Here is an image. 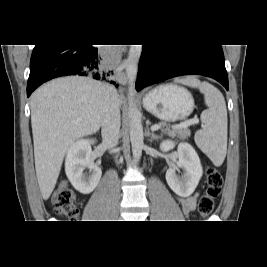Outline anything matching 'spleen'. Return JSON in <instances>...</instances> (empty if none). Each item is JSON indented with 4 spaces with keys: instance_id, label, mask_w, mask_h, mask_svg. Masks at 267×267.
<instances>
[{
    "instance_id": "1",
    "label": "spleen",
    "mask_w": 267,
    "mask_h": 267,
    "mask_svg": "<svg viewBox=\"0 0 267 267\" xmlns=\"http://www.w3.org/2000/svg\"><path fill=\"white\" fill-rule=\"evenodd\" d=\"M175 82L198 88L204 94L208 109L201 114L204 126L195 133V143L215 166L222 165L227 152V109L222 93L210 83L201 82L195 77H186Z\"/></svg>"
}]
</instances>
